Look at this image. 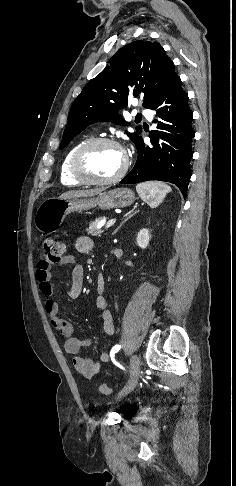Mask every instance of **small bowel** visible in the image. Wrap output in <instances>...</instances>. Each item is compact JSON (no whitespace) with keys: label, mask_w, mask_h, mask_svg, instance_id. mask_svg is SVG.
<instances>
[{"label":"small bowel","mask_w":236,"mask_h":486,"mask_svg":"<svg viewBox=\"0 0 236 486\" xmlns=\"http://www.w3.org/2000/svg\"><path fill=\"white\" fill-rule=\"evenodd\" d=\"M76 249L81 253H90L94 249V242L90 237L80 236L75 241ZM59 264H72L70 283L66 289L69 298L77 299L80 297L84 284V267L77 261L73 255H66L62 257ZM51 262L43 258L38 261L36 268V277L39 283V289L43 295L47 297L45 302V310L50 317L51 325L60 332L64 337V350L66 354L72 357V363L76 371L87 379H93L101 371V363L94 361L88 356L82 354V350L90 346V339H79L74 336L73 325L59 316V303L52 298L53 287L51 284ZM104 277L99 275L97 282L98 296L96 298V306L100 311L103 330L106 335L114 334V319L112 313L108 309L107 299L104 296ZM100 361L107 363L110 361V354L107 351H102L100 354Z\"/></svg>","instance_id":"c3829d8e"}]
</instances>
